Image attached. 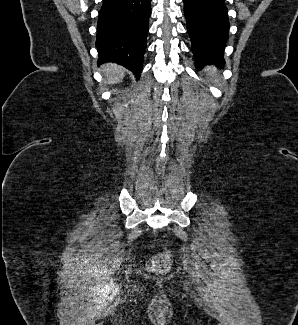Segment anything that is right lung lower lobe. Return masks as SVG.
<instances>
[{
	"label": "right lung lower lobe",
	"instance_id": "98d812e1",
	"mask_svg": "<svg viewBox=\"0 0 298 325\" xmlns=\"http://www.w3.org/2000/svg\"><path fill=\"white\" fill-rule=\"evenodd\" d=\"M151 0H103L98 17V63L115 62L138 78L149 30Z\"/></svg>",
	"mask_w": 298,
	"mask_h": 325
}]
</instances>
